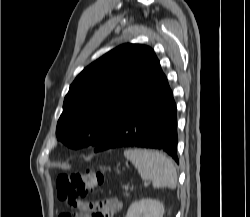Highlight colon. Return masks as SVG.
<instances>
[{"instance_id":"obj_1","label":"colon","mask_w":250,"mask_h":217,"mask_svg":"<svg viewBox=\"0 0 250 217\" xmlns=\"http://www.w3.org/2000/svg\"><path fill=\"white\" fill-rule=\"evenodd\" d=\"M103 183V175L91 169L62 173L57 177L56 187L59 197L67 201L71 208L79 207L90 217H103L100 202L87 203L82 198ZM73 213H63L60 217H73Z\"/></svg>"}]
</instances>
